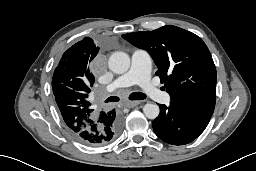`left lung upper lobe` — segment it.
<instances>
[{
  "instance_id": "5c2ea615",
  "label": "left lung upper lobe",
  "mask_w": 256,
  "mask_h": 171,
  "mask_svg": "<svg viewBox=\"0 0 256 171\" xmlns=\"http://www.w3.org/2000/svg\"><path fill=\"white\" fill-rule=\"evenodd\" d=\"M122 37L151 55L171 101L211 117L216 100V68L200 37L168 25Z\"/></svg>"
}]
</instances>
